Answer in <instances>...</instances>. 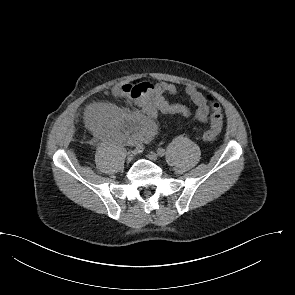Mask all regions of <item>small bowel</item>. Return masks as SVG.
<instances>
[{"label":"small bowel","mask_w":295,"mask_h":295,"mask_svg":"<svg viewBox=\"0 0 295 295\" xmlns=\"http://www.w3.org/2000/svg\"><path fill=\"white\" fill-rule=\"evenodd\" d=\"M185 92L196 106V119L202 123L210 119L208 132L217 136L222 130L223 121L222 116L219 120L212 119V98L193 86L186 87ZM112 94L125 98L138 110L130 112L109 103H94L86 108L85 120L97 134L118 143L143 142L152 138L156 133L155 117L159 111L185 117L190 115L186 106L171 104L166 100V95L177 94L176 87L168 82L126 83L115 86Z\"/></svg>","instance_id":"obj_1"}]
</instances>
